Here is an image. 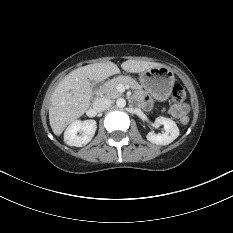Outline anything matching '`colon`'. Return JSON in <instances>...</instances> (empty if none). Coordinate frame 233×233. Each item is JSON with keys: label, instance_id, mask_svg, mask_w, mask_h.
Listing matches in <instances>:
<instances>
[{"label": "colon", "instance_id": "obj_1", "mask_svg": "<svg viewBox=\"0 0 233 233\" xmlns=\"http://www.w3.org/2000/svg\"><path fill=\"white\" fill-rule=\"evenodd\" d=\"M186 97V92L184 88L180 84H175L172 88V100L177 106H182L181 104L184 102ZM182 125H187L189 123V118L187 116H183L180 120Z\"/></svg>", "mask_w": 233, "mask_h": 233}]
</instances>
